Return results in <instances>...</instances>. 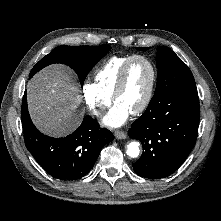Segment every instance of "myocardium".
<instances>
[{
  "label": "myocardium",
  "mask_w": 221,
  "mask_h": 221,
  "mask_svg": "<svg viewBox=\"0 0 221 221\" xmlns=\"http://www.w3.org/2000/svg\"><path fill=\"white\" fill-rule=\"evenodd\" d=\"M135 60H143L144 62H146L150 68V71H151V79H150V84H149V88L146 93V96H145L144 100L142 101V103L132 112L133 115H139L146 110V108L149 106V104L152 100V97L154 94V89H155V84H156V78H157L156 67H155L154 63L151 61V59H149L147 56L141 55V54L132 55L123 64V66L120 70L119 76H118V80L116 83L114 93L112 95V100H113V102H116V99L122 93V91L125 87L126 77H127V72H128L129 66Z\"/></svg>",
  "instance_id": "1"
}]
</instances>
